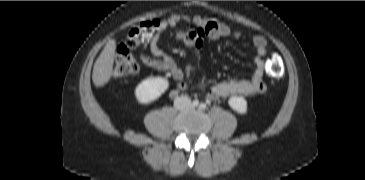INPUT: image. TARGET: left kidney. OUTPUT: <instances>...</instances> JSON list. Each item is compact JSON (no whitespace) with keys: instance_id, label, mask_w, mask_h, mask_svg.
Instances as JSON below:
<instances>
[{"instance_id":"obj_1","label":"left kidney","mask_w":365,"mask_h":180,"mask_svg":"<svg viewBox=\"0 0 365 180\" xmlns=\"http://www.w3.org/2000/svg\"><path fill=\"white\" fill-rule=\"evenodd\" d=\"M229 106L240 114L247 113V101L244 97L241 96H233L228 101Z\"/></svg>"}]
</instances>
